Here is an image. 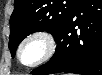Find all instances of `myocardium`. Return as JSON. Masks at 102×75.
<instances>
[{
    "label": "myocardium",
    "instance_id": "f54148a6",
    "mask_svg": "<svg viewBox=\"0 0 102 75\" xmlns=\"http://www.w3.org/2000/svg\"><path fill=\"white\" fill-rule=\"evenodd\" d=\"M39 39L44 43L43 54L34 62H25L23 59V52L26 45L32 41ZM57 48V40L52 33L46 30H38L27 35L20 43L18 48L19 60L27 66H35L49 60L55 53Z\"/></svg>",
    "mask_w": 102,
    "mask_h": 75
}]
</instances>
